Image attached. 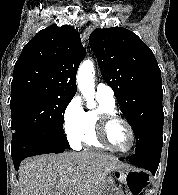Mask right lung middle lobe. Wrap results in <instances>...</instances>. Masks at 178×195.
I'll return each instance as SVG.
<instances>
[{
	"instance_id": "obj_1",
	"label": "right lung middle lobe",
	"mask_w": 178,
	"mask_h": 195,
	"mask_svg": "<svg viewBox=\"0 0 178 195\" xmlns=\"http://www.w3.org/2000/svg\"><path fill=\"white\" fill-rule=\"evenodd\" d=\"M72 98L43 92L11 96L12 137L55 132L67 140L63 130L64 112Z\"/></svg>"
}]
</instances>
